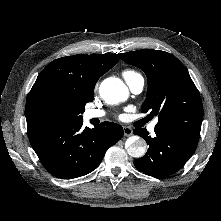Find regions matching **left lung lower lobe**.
I'll return each instance as SVG.
<instances>
[{
    "label": "left lung lower lobe",
    "mask_w": 221,
    "mask_h": 221,
    "mask_svg": "<svg viewBox=\"0 0 221 221\" xmlns=\"http://www.w3.org/2000/svg\"><path fill=\"white\" fill-rule=\"evenodd\" d=\"M133 133L144 138L149 145L147 153L134 161L135 167L144 174L166 177L182 168L196 150L198 141L155 128V136L142 129Z\"/></svg>",
    "instance_id": "1"
}]
</instances>
